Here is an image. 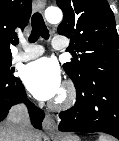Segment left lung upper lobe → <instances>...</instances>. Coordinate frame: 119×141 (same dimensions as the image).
I'll list each match as a JSON object with an SVG mask.
<instances>
[{
	"label": "left lung upper lobe",
	"mask_w": 119,
	"mask_h": 141,
	"mask_svg": "<svg viewBox=\"0 0 119 141\" xmlns=\"http://www.w3.org/2000/svg\"><path fill=\"white\" fill-rule=\"evenodd\" d=\"M64 13L58 33L70 38L74 53L63 65L75 85L97 74H119L118 34L107 0H56Z\"/></svg>",
	"instance_id": "5c2ea615"
}]
</instances>
